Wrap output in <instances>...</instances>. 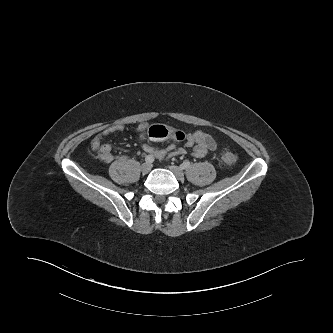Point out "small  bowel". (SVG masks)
Listing matches in <instances>:
<instances>
[{"label": "small bowel", "instance_id": "c3829d8e", "mask_svg": "<svg viewBox=\"0 0 333 333\" xmlns=\"http://www.w3.org/2000/svg\"><path fill=\"white\" fill-rule=\"evenodd\" d=\"M139 130L144 129L143 126H139ZM124 130L123 125H113L99 134H97L91 141V150L98 155V157L106 162L110 163L114 160L113 148L111 144L103 143L104 139L114 133ZM182 132V131H181ZM184 134V146L178 147L174 144H169L164 148H160L152 143H144L143 150L159 159L163 160L170 157L184 156L188 150H191L193 155L197 158H203L210 152L217 149V143L215 139L208 133L202 130H196L194 132H182Z\"/></svg>", "mask_w": 333, "mask_h": 333}]
</instances>
